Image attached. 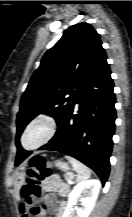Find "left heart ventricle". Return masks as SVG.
<instances>
[{"label":"left heart ventricle","mask_w":132,"mask_h":217,"mask_svg":"<svg viewBox=\"0 0 132 217\" xmlns=\"http://www.w3.org/2000/svg\"><path fill=\"white\" fill-rule=\"evenodd\" d=\"M45 132V129L42 125H38L34 127L32 130L28 132L25 137V144L27 146L35 145L37 142L41 140Z\"/></svg>","instance_id":"left-heart-ventricle-1"}]
</instances>
